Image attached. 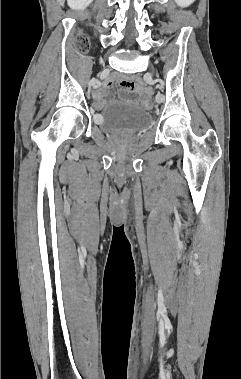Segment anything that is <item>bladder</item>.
Masks as SVG:
<instances>
[{"label": "bladder", "instance_id": "1", "mask_svg": "<svg viewBox=\"0 0 241 379\" xmlns=\"http://www.w3.org/2000/svg\"><path fill=\"white\" fill-rule=\"evenodd\" d=\"M151 123L150 113L143 107L128 103H115L100 115L98 123L105 133L130 136L139 133Z\"/></svg>", "mask_w": 241, "mask_h": 379}]
</instances>
